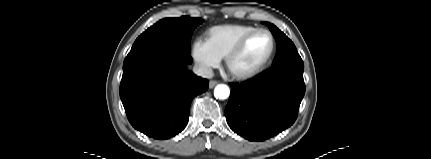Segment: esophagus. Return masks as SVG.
<instances>
[{
  "label": "esophagus",
  "instance_id": "esophagus-1",
  "mask_svg": "<svg viewBox=\"0 0 431 159\" xmlns=\"http://www.w3.org/2000/svg\"><path fill=\"white\" fill-rule=\"evenodd\" d=\"M218 84V82L217 81H215V80H210L209 81V88L210 89H212L214 86H216Z\"/></svg>",
  "mask_w": 431,
  "mask_h": 159
}]
</instances>
